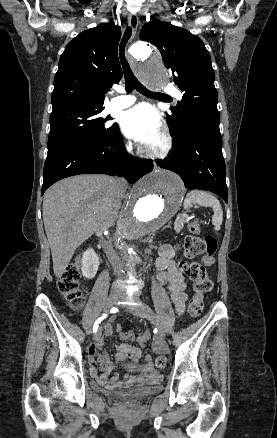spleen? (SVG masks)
<instances>
[{"label": "spleen", "mask_w": 277, "mask_h": 438, "mask_svg": "<svg viewBox=\"0 0 277 438\" xmlns=\"http://www.w3.org/2000/svg\"><path fill=\"white\" fill-rule=\"evenodd\" d=\"M191 204H199V206H205V208H212L214 212L212 216L214 230H216V232L221 230V224L223 222V210L217 198H214V196H212V194H208V192L192 190V192H189L188 196H186L184 208H186V210L187 208H191Z\"/></svg>", "instance_id": "1"}]
</instances>
